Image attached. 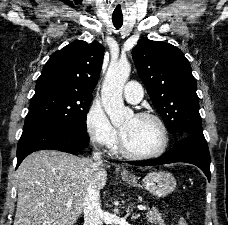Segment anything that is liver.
<instances>
[{
    "mask_svg": "<svg viewBox=\"0 0 228 225\" xmlns=\"http://www.w3.org/2000/svg\"><path fill=\"white\" fill-rule=\"evenodd\" d=\"M109 167L60 151L32 153L15 173L14 225H74L83 213L88 181L96 175L102 189Z\"/></svg>",
    "mask_w": 228,
    "mask_h": 225,
    "instance_id": "liver-1",
    "label": "liver"
}]
</instances>
